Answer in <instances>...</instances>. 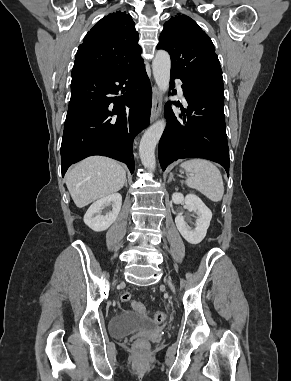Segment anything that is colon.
I'll use <instances>...</instances> for the list:
<instances>
[{
    "instance_id": "colon-1",
    "label": "colon",
    "mask_w": 291,
    "mask_h": 381,
    "mask_svg": "<svg viewBox=\"0 0 291 381\" xmlns=\"http://www.w3.org/2000/svg\"><path fill=\"white\" fill-rule=\"evenodd\" d=\"M130 299H131V295L129 293H123L121 295V301L122 302H129ZM132 307L134 308L135 311H137L138 313H140L142 315L148 314V311H147V308L145 307V305L139 301H133ZM152 318L156 323L162 324L166 320V315L162 311H157V312L152 314ZM135 348L138 352H143L147 348V343L143 342V341H137L135 343Z\"/></svg>"
}]
</instances>
